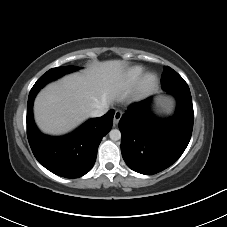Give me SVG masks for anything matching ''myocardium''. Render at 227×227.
Segmentation results:
<instances>
[{
	"instance_id": "obj_1",
	"label": "myocardium",
	"mask_w": 227,
	"mask_h": 227,
	"mask_svg": "<svg viewBox=\"0 0 227 227\" xmlns=\"http://www.w3.org/2000/svg\"><path fill=\"white\" fill-rule=\"evenodd\" d=\"M159 78L158 75L154 72H148L143 75L141 79V89L143 91H149L152 90L156 85L158 84Z\"/></svg>"
}]
</instances>
